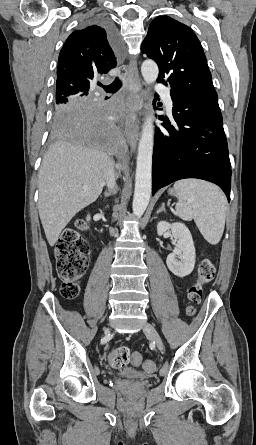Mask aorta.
<instances>
[{"instance_id":"aorta-1","label":"aorta","mask_w":256,"mask_h":445,"mask_svg":"<svg viewBox=\"0 0 256 445\" xmlns=\"http://www.w3.org/2000/svg\"><path fill=\"white\" fill-rule=\"evenodd\" d=\"M141 73L147 84L154 83L159 74L157 64L153 60H145L141 65ZM154 145L153 115L146 117L142 126L138 144L135 191L133 198V214L142 216L145 212L152 189V154Z\"/></svg>"}]
</instances>
